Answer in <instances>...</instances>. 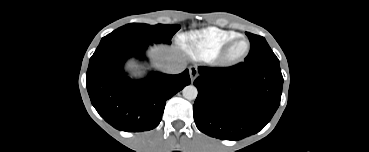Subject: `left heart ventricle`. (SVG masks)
Masks as SVG:
<instances>
[{
	"label": "left heart ventricle",
	"mask_w": 369,
	"mask_h": 152,
	"mask_svg": "<svg viewBox=\"0 0 369 152\" xmlns=\"http://www.w3.org/2000/svg\"><path fill=\"white\" fill-rule=\"evenodd\" d=\"M245 48H246V43L244 41H240L234 46L233 53L240 54L245 50Z\"/></svg>",
	"instance_id": "1"
}]
</instances>
